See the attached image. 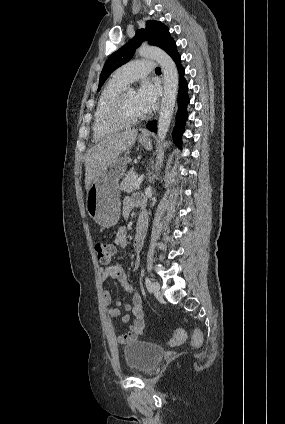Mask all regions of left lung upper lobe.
Listing matches in <instances>:
<instances>
[{"instance_id":"1","label":"left lung upper lobe","mask_w":285,"mask_h":424,"mask_svg":"<svg viewBox=\"0 0 285 424\" xmlns=\"http://www.w3.org/2000/svg\"><path fill=\"white\" fill-rule=\"evenodd\" d=\"M145 39H148L151 45L158 46L165 51H167L174 42L170 37L168 28L164 24L155 20L147 21L146 29L137 30L136 36L133 39L108 58L100 75L98 91L115 69L127 63L132 58L136 48Z\"/></svg>"}]
</instances>
